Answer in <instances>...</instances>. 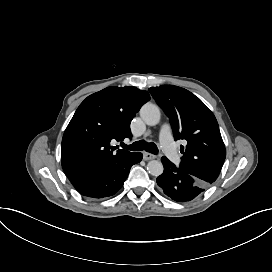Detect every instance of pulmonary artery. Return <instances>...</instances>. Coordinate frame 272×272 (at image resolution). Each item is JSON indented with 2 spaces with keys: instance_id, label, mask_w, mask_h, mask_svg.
Masks as SVG:
<instances>
[{
  "instance_id": "e3ab8cb5",
  "label": "pulmonary artery",
  "mask_w": 272,
  "mask_h": 272,
  "mask_svg": "<svg viewBox=\"0 0 272 272\" xmlns=\"http://www.w3.org/2000/svg\"><path fill=\"white\" fill-rule=\"evenodd\" d=\"M171 134V129L168 126H163L160 132L159 144L162 152L170 158L173 164L181 165L183 162L180 160L178 153L175 151L176 145Z\"/></svg>"
}]
</instances>
